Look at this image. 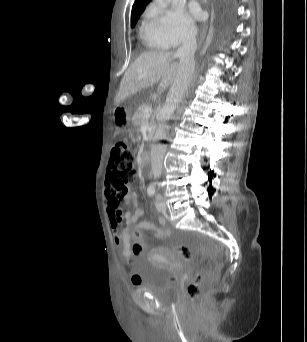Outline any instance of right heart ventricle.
<instances>
[{
  "label": "right heart ventricle",
  "instance_id": "1",
  "mask_svg": "<svg viewBox=\"0 0 307 342\" xmlns=\"http://www.w3.org/2000/svg\"><path fill=\"white\" fill-rule=\"evenodd\" d=\"M139 40L145 53H156L165 48L163 44L144 33L139 35Z\"/></svg>",
  "mask_w": 307,
  "mask_h": 342
}]
</instances>
